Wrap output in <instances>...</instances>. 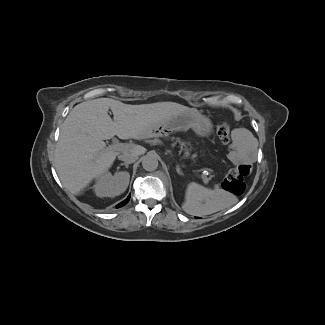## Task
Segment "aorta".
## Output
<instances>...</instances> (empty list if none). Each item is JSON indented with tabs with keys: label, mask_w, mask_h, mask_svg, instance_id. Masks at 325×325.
Returning a JSON list of instances; mask_svg holds the SVG:
<instances>
[{
	"label": "aorta",
	"mask_w": 325,
	"mask_h": 325,
	"mask_svg": "<svg viewBox=\"0 0 325 325\" xmlns=\"http://www.w3.org/2000/svg\"><path fill=\"white\" fill-rule=\"evenodd\" d=\"M142 167L146 171H154L158 167V158L154 153H148L142 158Z\"/></svg>",
	"instance_id": "obj_1"
}]
</instances>
